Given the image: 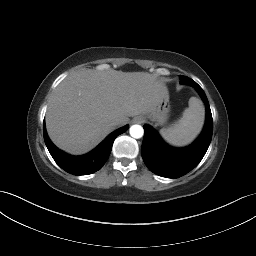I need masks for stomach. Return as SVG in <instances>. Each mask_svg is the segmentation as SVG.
<instances>
[{"label":"stomach","instance_id":"stomach-1","mask_svg":"<svg viewBox=\"0 0 256 256\" xmlns=\"http://www.w3.org/2000/svg\"><path fill=\"white\" fill-rule=\"evenodd\" d=\"M170 112V101L168 93L162 96L152 111L144 115V118L155 122L157 125H164L168 119Z\"/></svg>","mask_w":256,"mask_h":256}]
</instances>
